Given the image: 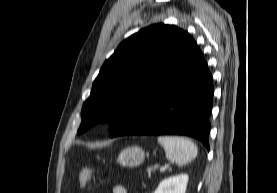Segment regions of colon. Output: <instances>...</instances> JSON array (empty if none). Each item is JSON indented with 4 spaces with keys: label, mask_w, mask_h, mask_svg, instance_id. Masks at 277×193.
I'll list each match as a JSON object with an SVG mask.
<instances>
[{
    "label": "colon",
    "mask_w": 277,
    "mask_h": 193,
    "mask_svg": "<svg viewBox=\"0 0 277 193\" xmlns=\"http://www.w3.org/2000/svg\"><path fill=\"white\" fill-rule=\"evenodd\" d=\"M94 172L91 169H83L79 175V185L85 187L93 178Z\"/></svg>",
    "instance_id": "5ec220e1"
}]
</instances>
